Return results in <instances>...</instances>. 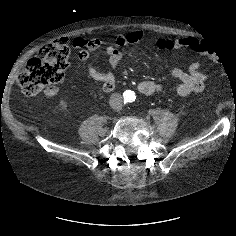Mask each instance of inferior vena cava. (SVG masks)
I'll return each instance as SVG.
<instances>
[{
  "mask_svg": "<svg viewBox=\"0 0 236 236\" xmlns=\"http://www.w3.org/2000/svg\"><path fill=\"white\" fill-rule=\"evenodd\" d=\"M122 96L118 93H113L111 96H110V100H109V104H110V107L114 110H119L122 108Z\"/></svg>",
  "mask_w": 236,
  "mask_h": 236,
  "instance_id": "obj_1",
  "label": "inferior vena cava"
}]
</instances>
